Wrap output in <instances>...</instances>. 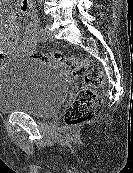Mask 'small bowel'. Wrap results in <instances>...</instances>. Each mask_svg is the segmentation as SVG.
Listing matches in <instances>:
<instances>
[{
  "label": "small bowel",
  "instance_id": "1",
  "mask_svg": "<svg viewBox=\"0 0 133 173\" xmlns=\"http://www.w3.org/2000/svg\"><path fill=\"white\" fill-rule=\"evenodd\" d=\"M19 11L20 14H30L31 21L22 30L14 16L4 17L0 22V52L5 55L32 57L36 47V18L22 3Z\"/></svg>",
  "mask_w": 133,
  "mask_h": 173
}]
</instances>
